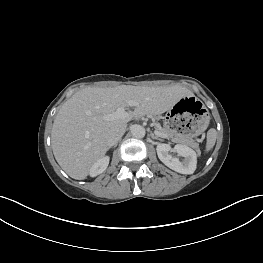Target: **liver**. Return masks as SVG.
<instances>
[{"label": "liver", "mask_w": 263, "mask_h": 263, "mask_svg": "<svg viewBox=\"0 0 263 263\" xmlns=\"http://www.w3.org/2000/svg\"><path fill=\"white\" fill-rule=\"evenodd\" d=\"M192 92L182 86L147 87L120 85L86 87L76 92L55 116L51 144L60 167L73 179H85L91 166L104 157L107 137L116 128H125L134 117L162 114ZM136 103L124 119L105 117L119 107Z\"/></svg>", "instance_id": "obj_1"}]
</instances>
